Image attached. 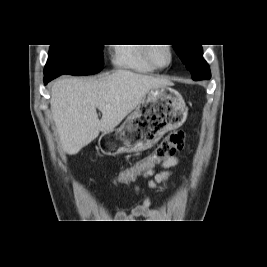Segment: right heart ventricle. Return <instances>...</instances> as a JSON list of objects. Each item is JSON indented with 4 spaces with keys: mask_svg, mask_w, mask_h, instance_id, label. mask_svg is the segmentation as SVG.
<instances>
[{
    "mask_svg": "<svg viewBox=\"0 0 267 267\" xmlns=\"http://www.w3.org/2000/svg\"><path fill=\"white\" fill-rule=\"evenodd\" d=\"M144 44H116L111 56L112 64L116 68L131 69L141 73H152L156 68L152 66L146 57Z\"/></svg>",
    "mask_w": 267,
    "mask_h": 267,
    "instance_id": "obj_1",
    "label": "right heart ventricle"
}]
</instances>
